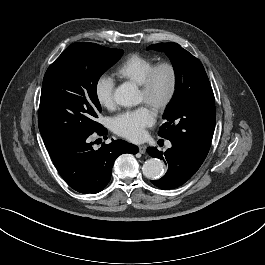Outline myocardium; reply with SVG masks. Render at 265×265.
Listing matches in <instances>:
<instances>
[{
	"instance_id": "myocardium-1",
	"label": "myocardium",
	"mask_w": 265,
	"mask_h": 265,
	"mask_svg": "<svg viewBox=\"0 0 265 265\" xmlns=\"http://www.w3.org/2000/svg\"><path fill=\"white\" fill-rule=\"evenodd\" d=\"M167 70L170 75L169 86L165 94L157 97L155 94V83L158 73ZM178 88V71L176 66L169 61L155 64L145 76L141 84V92L145 96V103L151 106L156 112L165 111L175 98Z\"/></svg>"
}]
</instances>
